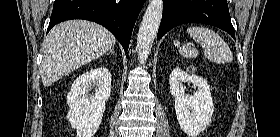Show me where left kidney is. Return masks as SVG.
I'll return each mask as SVG.
<instances>
[{
	"label": "left kidney",
	"instance_id": "left-kidney-1",
	"mask_svg": "<svg viewBox=\"0 0 280 137\" xmlns=\"http://www.w3.org/2000/svg\"><path fill=\"white\" fill-rule=\"evenodd\" d=\"M170 92L175 98V111L182 131L189 137H197L210 124L214 112L210 86L202 77L177 67L169 77ZM185 83L197 87L193 96L185 95Z\"/></svg>",
	"mask_w": 280,
	"mask_h": 137
}]
</instances>
